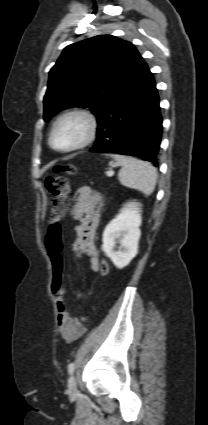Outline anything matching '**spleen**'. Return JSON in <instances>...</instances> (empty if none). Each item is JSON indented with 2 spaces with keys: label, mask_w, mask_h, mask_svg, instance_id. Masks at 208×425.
Listing matches in <instances>:
<instances>
[{
  "label": "spleen",
  "mask_w": 208,
  "mask_h": 425,
  "mask_svg": "<svg viewBox=\"0 0 208 425\" xmlns=\"http://www.w3.org/2000/svg\"><path fill=\"white\" fill-rule=\"evenodd\" d=\"M112 157L121 166L118 178L122 185L137 189L146 196L152 194L156 186L157 170L151 163L118 154Z\"/></svg>",
  "instance_id": "3e777b00"
}]
</instances>
